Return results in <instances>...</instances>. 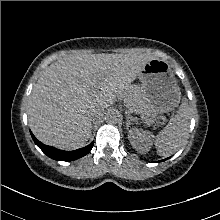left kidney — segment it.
<instances>
[{"label":"left kidney","mask_w":220,"mask_h":220,"mask_svg":"<svg viewBox=\"0 0 220 220\" xmlns=\"http://www.w3.org/2000/svg\"><path fill=\"white\" fill-rule=\"evenodd\" d=\"M128 139L136 151L145 154L152 146L153 135L150 132L132 128L128 133Z\"/></svg>","instance_id":"obj_1"}]
</instances>
